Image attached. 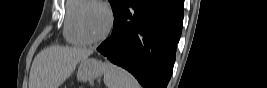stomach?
I'll return each instance as SVG.
<instances>
[{
    "label": "stomach",
    "mask_w": 267,
    "mask_h": 88,
    "mask_svg": "<svg viewBox=\"0 0 267 88\" xmlns=\"http://www.w3.org/2000/svg\"><path fill=\"white\" fill-rule=\"evenodd\" d=\"M103 73V63L96 59L87 58L80 62L77 78L81 82L91 81Z\"/></svg>",
    "instance_id": "obj_1"
}]
</instances>
